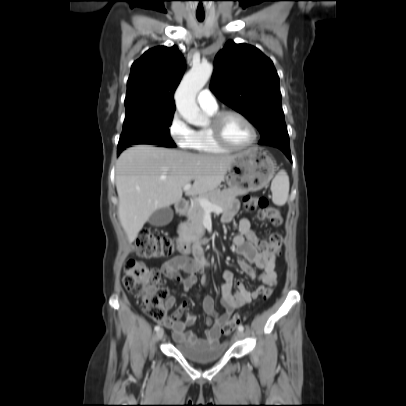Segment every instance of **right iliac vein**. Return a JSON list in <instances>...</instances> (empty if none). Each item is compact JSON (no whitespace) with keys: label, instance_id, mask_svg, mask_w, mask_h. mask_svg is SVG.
I'll list each match as a JSON object with an SVG mask.
<instances>
[{"label":"right iliac vein","instance_id":"right-iliac-vein-1","mask_svg":"<svg viewBox=\"0 0 406 406\" xmlns=\"http://www.w3.org/2000/svg\"><path fill=\"white\" fill-rule=\"evenodd\" d=\"M163 336H164V330H163V329H160L159 331H157V333H156V338H157L158 340L162 339Z\"/></svg>","mask_w":406,"mask_h":406}]
</instances>
